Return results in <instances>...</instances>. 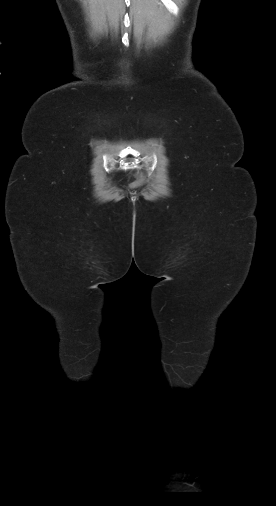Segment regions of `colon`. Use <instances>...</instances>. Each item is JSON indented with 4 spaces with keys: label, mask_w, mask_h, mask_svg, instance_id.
Here are the masks:
<instances>
[{
    "label": "colon",
    "mask_w": 276,
    "mask_h": 506,
    "mask_svg": "<svg viewBox=\"0 0 276 506\" xmlns=\"http://www.w3.org/2000/svg\"><path fill=\"white\" fill-rule=\"evenodd\" d=\"M147 181H148V176L143 172H139L138 179L134 184H135V186H140V185H143L144 183H146Z\"/></svg>",
    "instance_id": "colon-1"
}]
</instances>
